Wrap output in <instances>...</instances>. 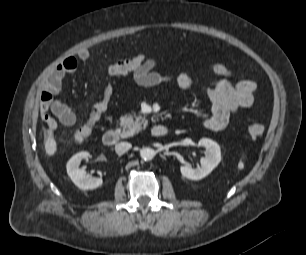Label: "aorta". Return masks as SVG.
I'll return each instance as SVG.
<instances>
[{
  "label": "aorta",
  "mask_w": 306,
  "mask_h": 255,
  "mask_svg": "<svg viewBox=\"0 0 306 255\" xmlns=\"http://www.w3.org/2000/svg\"><path fill=\"white\" fill-rule=\"evenodd\" d=\"M140 156L145 161H150L155 156V151L151 148H142L140 151Z\"/></svg>",
  "instance_id": "762f6f07"
}]
</instances>
